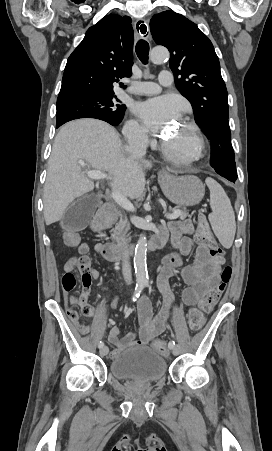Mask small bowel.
<instances>
[{
	"label": "small bowel",
	"instance_id": "1",
	"mask_svg": "<svg viewBox=\"0 0 272 451\" xmlns=\"http://www.w3.org/2000/svg\"><path fill=\"white\" fill-rule=\"evenodd\" d=\"M170 232L173 246L176 252L167 255L158 274V285L160 291L165 298V304L159 313L152 318L150 302L146 297L140 299L138 303V317L140 326L132 332L126 334L123 338H119V330L112 327L109 331L108 341L113 346L110 352V358H117L125 349L133 346H145L154 341L160 334L164 332L172 309V296L169 281L179 271L182 280L187 287L183 290L181 302L186 306H193L199 303L200 298L207 288L215 286L219 283L220 273L225 264V257L222 254L220 260H211L209 251L195 242L193 238L194 226L189 220H176L170 222L167 227L162 228L158 234L166 236ZM101 246L97 249L100 250ZM78 252H89V246L82 243L78 246ZM195 253L194 262L190 265H183V258ZM222 253V252H221ZM99 271L95 269L94 274H81L82 293L79 299L65 300L68 304H82L83 300H87L91 285L94 279L99 278ZM118 297H114L111 302L112 309L117 307ZM70 311H75L69 308ZM94 310L90 313H84L85 316L93 315Z\"/></svg>",
	"mask_w": 272,
	"mask_h": 451
}]
</instances>
